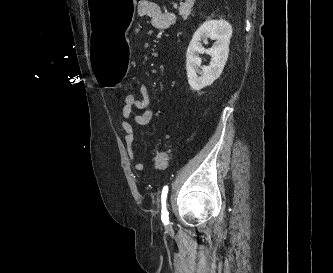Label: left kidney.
I'll use <instances>...</instances> for the list:
<instances>
[{
	"label": "left kidney",
	"mask_w": 333,
	"mask_h": 273,
	"mask_svg": "<svg viewBox=\"0 0 333 273\" xmlns=\"http://www.w3.org/2000/svg\"><path fill=\"white\" fill-rule=\"evenodd\" d=\"M231 35L232 26L225 20L206 21L194 33L186 54L188 83L193 90H201L220 77L228 58ZM208 38L215 42L210 49H205L201 41L206 42ZM203 53L211 56L209 66L201 67L199 55Z\"/></svg>",
	"instance_id": "1"
}]
</instances>
